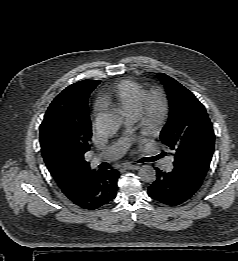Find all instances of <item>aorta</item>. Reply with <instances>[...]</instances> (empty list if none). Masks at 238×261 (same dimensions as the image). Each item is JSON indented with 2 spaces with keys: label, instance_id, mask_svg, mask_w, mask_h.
Returning a JSON list of instances; mask_svg holds the SVG:
<instances>
[{
  "label": "aorta",
  "instance_id": "1",
  "mask_svg": "<svg viewBox=\"0 0 238 261\" xmlns=\"http://www.w3.org/2000/svg\"><path fill=\"white\" fill-rule=\"evenodd\" d=\"M123 123L122 117L115 112L100 114L96 121L97 132L105 137L114 135ZM141 181L152 183L156 180V171L150 165H143L138 171Z\"/></svg>",
  "mask_w": 238,
  "mask_h": 261
}]
</instances>
